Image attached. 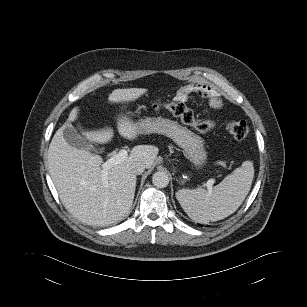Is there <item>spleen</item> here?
Masks as SVG:
<instances>
[{
    "label": "spleen",
    "mask_w": 307,
    "mask_h": 307,
    "mask_svg": "<svg viewBox=\"0 0 307 307\" xmlns=\"http://www.w3.org/2000/svg\"><path fill=\"white\" fill-rule=\"evenodd\" d=\"M254 177L251 161H244L212 189H181L176 198L183 210L195 222L222 220L234 213L250 191Z\"/></svg>",
    "instance_id": "3e777b00"
}]
</instances>
